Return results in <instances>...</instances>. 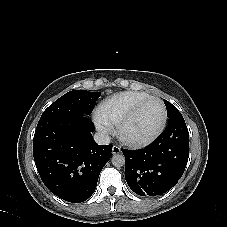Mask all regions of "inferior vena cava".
Listing matches in <instances>:
<instances>
[{
	"label": "inferior vena cava",
	"mask_w": 227,
	"mask_h": 227,
	"mask_svg": "<svg viewBox=\"0 0 227 227\" xmlns=\"http://www.w3.org/2000/svg\"><path fill=\"white\" fill-rule=\"evenodd\" d=\"M94 140L99 145H107L110 143V136L104 132H97L94 134Z\"/></svg>",
	"instance_id": "obj_1"
}]
</instances>
